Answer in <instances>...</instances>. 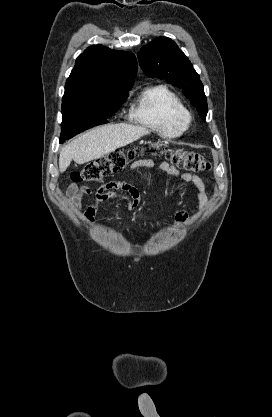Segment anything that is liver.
Instances as JSON below:
<instances>
[{
  "instance_id": "liver-1",
  "label": "liver",
  "mask_w": 272,
  "mask_h": 417,
  "mask_svg": "<svg viewBox=\"0 0 272 417\" xmlns=\"http://www.w3.org/2000/svg\"><path fill=\"white\" fill-rule=\"evenodd\" d=\"M149 133L144 127L124 123L92 129L61 148L59 170L65 172L72 160L84 164L100 158Z\"/></svg>"
}]
</instances>
